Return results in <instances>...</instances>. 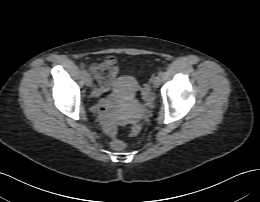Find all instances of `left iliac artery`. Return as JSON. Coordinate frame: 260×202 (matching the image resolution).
Returning a JSON list of instances; mask_svg holds the SVG:
<instances>
[{"instance_id": "left-iliac-artery-1", "label": "left iliac artery", "mask_w": 260, "mask_h": 202, "mask_svg": "<svg viewBox=\"0 0 260 202\" xmlns=\"http://www.w3.org/2000/svg\"><path fill=\"white\" fill-rule=\"evenodd\" d=\"M158 74H159V76H163V75H164V72H163V71H160Z\"/></svg>"}]
</instances>
